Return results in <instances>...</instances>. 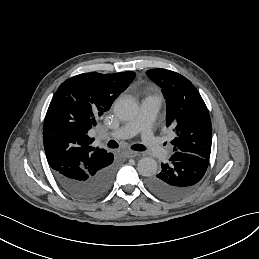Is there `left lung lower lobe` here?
<instances>
[{"instance_id":"0a47b994","label":"left lung lower lobe","mask_w":259,"mask_h":259,"mask_svg":"<svg viewBox=\"0 0 259 259\" xmlns=\"http://www.w3.org/2000/svg\"><path fill=\"white\" fill-rule=\"evenodd\" d=\"M209 159L184 152H175L162 170L147 180L148 189L164 199H179L189 194L203 178Z\"/></svg>"}]
</instances>
